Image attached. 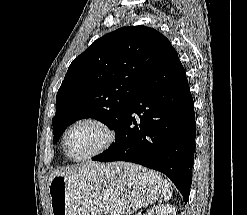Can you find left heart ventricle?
Returning a JSON list of instances; mask_svg holds the SVG:
<instances>
[{"label":"left heart ventricle","mask_w":247,"mask_h":215,"mask_svg":"<svg viewBox=\"0 0 247 215\" xmlns=\"http://www.w3.org/2000/svg\"><path fill=\"white\" fill-rule=\"evenodd\" d=\"M104 141V133L90 123L77 125L68 135V152L74 157H83L95 151Z\"/></svg>","instance_id":"left-heart-ventricle-1"}]
</instances>
